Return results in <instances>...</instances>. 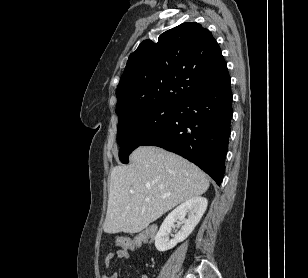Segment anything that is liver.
I'll use <instances>...</instances> for the list:
<instances>
[{
  "label": "liver",
  "mask_w": 308,
  "mask_h": 278,
  "mask_svg": "<svg viewBox=\"0 0 308 278\" xmlns=\"http://www.w3.org/2000/svg\"><path fill=\"white\" fill-rule=\"evenodd\" d=\"M130 160L110 173L105 233H138L209 188L206 175L196 165L162 148L140 146Z\"/></svg>",
  "instance_id": "1"
}]
</instances>
